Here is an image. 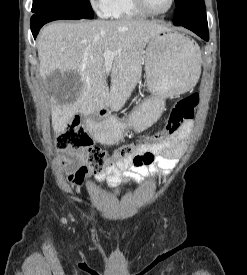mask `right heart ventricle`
I'll return each instance as SVG.
<instances>
[{
  "instance_id": "right-heart-ventricle-1",
  "label": "right heart ventricle",
  "mask_w": 247,
  "mask_h": 275,
  "mask_svg": "<svg viewBox=\"0 0 247 275\" xmlns=\"http://www.w3.org/2000/svg\"><path fill=\"white\" fill-rule=\"evenodd\" d=\"M109 17L133 19L146 17V14L136 6L134 0H112Z\"/></svg>"
}]
</instances>
